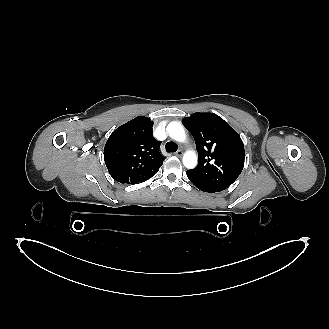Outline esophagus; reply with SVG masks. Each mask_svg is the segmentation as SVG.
<instances>
[{
	"label": "esophagus",
	"instance_id": "34e87169",
	"mask_svg": "<svg viewBox=\"0 0 329 329\" xmlns=\"http://www.w3.org/2000/svg\"><path fill=\"white\" fill-rule=\"evenodd\" d=\"M175 155L178 156V157H181L183 155V151L178 150L177 152H175Z\"/></svg>",
	"mask_w": 329,
	"mask_h": 329
}]
</instances>
